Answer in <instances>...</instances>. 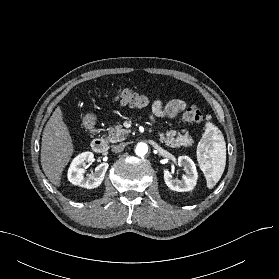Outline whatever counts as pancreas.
Instances as JSON below:
<instances>
[{
  "label": "pancreas",
  "mask_w": 279,
  "mask_h": 279,
  "mask_svg": "<svg viewBox=\"0 0 279 279\" xmlns=\"http://www.w3.org/2000/svg\"><path fill=\"white\" fill-rule=\"evenodd\" d=\"M129 134V130L123 128L121 124H117L110 128L107 140L111 143H117L125 140L127 135ZM159 140L162 143H165L168 147L177 148L180 146H191L193 140L191 136L186 132L184 135L177 133L176 130L170 129L165 134L158 132ZM177 135V137H175Z\"/></svg>",
  "instance_id": "cf45deb5"
}]
</instances>
